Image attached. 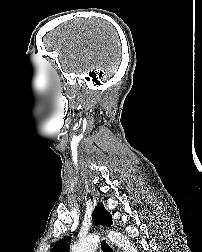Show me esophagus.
Masks as SVG:
<instances>
[{
  "instance_id": "obj_1",
  "label": "esophagus",
  "mask_w": 202,
  "mask_h": 252,
  "mask_svg": "<svg viewBox=\"0 0 202 252\" xmlns=\"http://www.w3.org/2000/svg\"><path fill=\"white\" fill-rule=\"evenodd\" d=\"M100 247H101V252H116L113 245L110 243V241L105 236L104 230H102Z\"/></svg>"
}]
</instances>
